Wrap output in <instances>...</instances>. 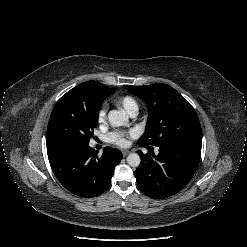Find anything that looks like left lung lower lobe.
<instances>
[{
	"label": "left lung lower lobe",
	"mask_w": 247,
	"mask_h": 247,
	"mask_svg": "<svg viewBox=\"0 0 247 247\" xmlns=\"http://www.w3.org/2000/svg\"><path fill=\"white\" fill-rule=\"evenodd\" d=\"M150 153H137L141 158L134 175L139 189L149 197L163 199L181 191L191 180L200 162L201 146L171 144L144 145Z\"/></svg>",
	"instance_id": "1"
}]
</instances>
